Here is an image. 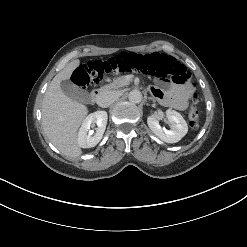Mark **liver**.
<instances>
[{
  "instance_id": "obj_1",
  "label": "liver",
  "mask_w": 247,
  "mask_h": 247,
  "mask_svg": "<svg viewBox=\"0 0 247 247\" xmlns=\"http://www.w3.org/2000/svg\"><path fill=\"white\" fill-rule=\"evenodd\" d=\"M79 65L78 59L73 60L53 78L42 103V125L46 136L61 153L72 158L82 154L77 132L88 109L66 96L60 83L68 80Z\"/></svg>"
}]
</instances>
